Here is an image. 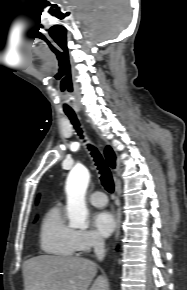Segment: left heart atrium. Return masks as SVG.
Wrapping results in <instances>:
<instances>
[{"label":"left heart atrium","mask_w":187,"mask_h":290,"mask_svg":"<svg viewBox=\"0 0 187 290\" xmlns=\"http://www.w3.org/2000/svg\"><path fill=\"white\" fill-rule=\"evenodd\" d=\"M92 222L95 230L104 237L110 235L116 226L114 216L108 211L95 213Z\"/></svg>","instance_id":"obj_1"}]
</instances>
